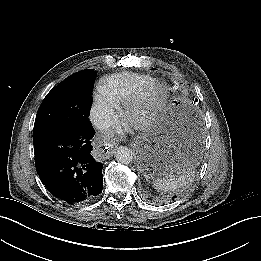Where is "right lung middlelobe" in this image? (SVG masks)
Wrapping results in <instances>:
<instances>
[{"instance_id":"obj_1","label":"right lung middle lobe","mask_w":261,"mask_h":261,"mask_svg":"<svg viewBox=\"0 0 261 261\" xmlns=\"http://www.w3.org/2000/svg\"><path fill=\"white\" fill-rule=\"evenodd\" d=\"M93 69L67 77L44 98L37 112L33 132L59 128L72 121L88 117L91 109Z\"/></svg>"}]
</instances>
